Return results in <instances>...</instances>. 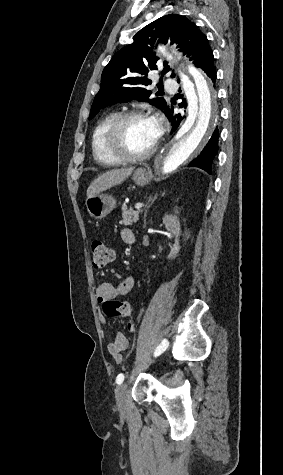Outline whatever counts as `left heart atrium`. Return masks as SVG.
Returning <instances> with one entry per match:
<instances>
[{"label":"left heart atrium","instance_id":"1","mask_svg":"<svg viewBox=\"0 0 283 475\" xmlns=\"http://www.w3.org/2000/svg\"><path fill=\"white\" fill-rule=\"evenodd\" d=\"M151 122H152L153 128L155 130L154 135L158 139L160 137V135L162 134L161 119L158 116H153L151 118Z\"/></svg>","mask_w":283,"mask_h":475}]
</instances>
